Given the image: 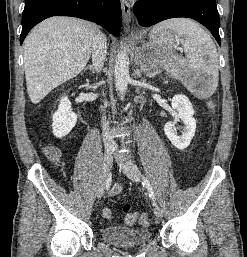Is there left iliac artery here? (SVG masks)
I'll use <instances>...</instances> for the list:
<instances>
[{
    "label": "left iliac artery",
    "mask_w": 247,
    "mask_h": 257,
    "mask_svg": "<svg viewBox=\"0 0 247 257\" xmlns=\"http://www.w3.org/2000/svg\"><path fill=\"white\" fill-rule=\"evenodd\" d=\"M134 167L137 169V167H136L135 165H134ZM142 179H143V182H142L143 186L148 189L149 196H150V198L152 199L153 204L156 206L155 194H154V192H153V189H152V187H151L149 181H148L144 176L142 177Z\"/></svg>",
    "instance_id": "obj_1"
}]
</instances>
